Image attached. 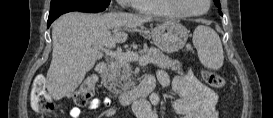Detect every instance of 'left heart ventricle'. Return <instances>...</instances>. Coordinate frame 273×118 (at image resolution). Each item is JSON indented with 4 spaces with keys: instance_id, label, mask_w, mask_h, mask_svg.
Instances as JSON below:
<instances>
[{
    "instance_id": "obj_1",
    "label": "left heart ventricle",
    "mask_w": 273,
    "mask_h": 118,
    "mask_svg": "<svg viewBox=\"0 0 273 118\" xmlns=\"http://www.w3.org/2000/svg\"><path fill=\"white\" fill-rule=\"evenodd\" d=\"M182 3L189 11H203L206 8L204 0H182Z\"/></svg>"
}]
</instances>
